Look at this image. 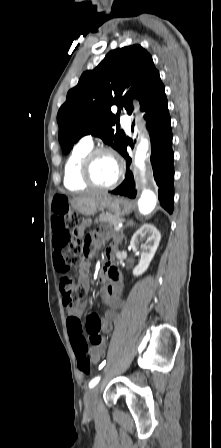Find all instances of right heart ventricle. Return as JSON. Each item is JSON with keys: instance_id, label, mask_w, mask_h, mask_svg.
<instances>
[{"instance_id": "right-heart-ventricle-1", "label": "right heart ventricle", "mask_w": 221, "mask_h": 448, "mask_svg": "<svg viewBox=\"0 0 221 448\" xmlns=\"http://www.w3.org/2000/svg\"><path fill=\"white\" fill-rule=\"evenodd\" d=\"M92 149L91 145L80 142L69 154L64 167V186L70 190H83L89 186L80 177V163L85 154Z\"/></svg>"}]
</instances>
